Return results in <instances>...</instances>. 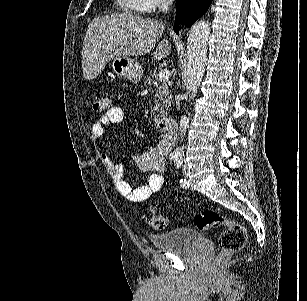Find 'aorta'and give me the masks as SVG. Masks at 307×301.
Segmentation results:
<instances>
[{"label": "aorta", "instance_id": "aorta-1", "mask_svg": "<svg viewBox=\"0 0 307 301\" xmlns=\"http://www.w3.org/2000/svg\"><path fill=\"white\" fill-rule=\"evenodd\" d=\"M210 34L209 20H198L193 24L187 40L186 96H195L203 78L207 44Z\"/></svg>", "mask_w": 307, "mask_h": 301}]
</instances>
